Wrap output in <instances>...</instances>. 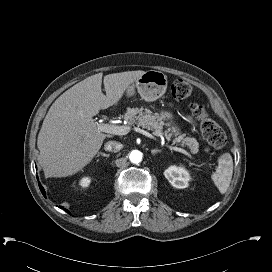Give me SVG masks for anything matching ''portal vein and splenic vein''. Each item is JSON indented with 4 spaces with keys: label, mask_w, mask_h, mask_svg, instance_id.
<instances>
[{
    "label": "portal vein and splenic vein",
    "mask_w": 272,
    "mask_h": 272,
    "mask_svg": "<svg viewBox=\"0 0 272 272\" xmlns=\"http://www.w3.org/2000/svg\"><path fill=\"white\" fill-rule=\"evenodd\" d=\"M97 128L101 132L114 134V135H126L130 131V127H128V126H117V125H113V124H104V123H97ZM133 130L138 132V133H141V134H143V135H145V136H147L149 138L155 139V137L151 133H149L146 130H143V129L139 128V127H134ZM168 147L171 150L183 153V154L191 157V155L186 150H184L182 148L173 147V146H170V145H168Z\"/></svg>",
    "instance_id": "1"
}]
</instances>
